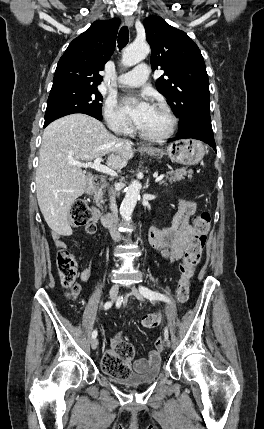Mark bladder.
I'll return each instance as SVG.
<instances>
[{
    "label": "bladder",
    "instance_id": "1",
    "mask_svg": "<svg viewBox=\"0 0 264 429\" xmlns=\"http://www.w3.org/2000/svg\"><path fill=\"white\" fill-rule=\"evenodd\" d=\"M160 374L161 368L158 364L156 366L150 367L142 373H129L124 377H116L108 374V377L110 381L118 385L133 388L154 382L160 376Z\"/></svg>",
    "mask_w": 264,
    "mask_h": 429
}]
</instances>
